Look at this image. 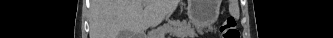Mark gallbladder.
Returning a JSON list of instances; mask_svg holds the SVG:
<instances>
[{
    "label": "gallbladder",
    "instance_id": "1",
    "mask_svg": "<svg viewBox=\"0 0 333 38\" xmlns=\"http://www.w3.org/2000/svg\"><path fill=\"white\" fill-rule=\"evenodd\" d=\"M133 34L131 31L129 30H124V31H121L120 34H119V38H132Z\"/></svg>",
    "mask_w": 333,
    "mask_h": 38
}]
</instances>
